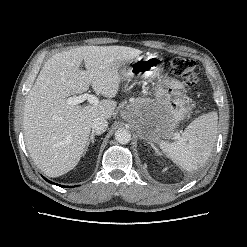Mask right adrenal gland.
<instances>
[{
	"label": "right adrenal gland",
	"mask_w": 247,
	"mask_h": 247,
	"mask_svg": "<svg viewBox=\"0 0 247 247\" xmlns=\"http://www.w3.org/2000/svg\"><path fill=\"white\" fill-rule=\"evenodd\" d=\"M96 135H100V134H98V133H92L91 134V136H90V138L88 139V142H87V144H86V148H85V152L88 150V147H89V145H90V143L92 144V146L94 145V137L96 136Z\"/></svg>",
	"instance_id": "right-adrenal-gland-1"
}]
</instances>
